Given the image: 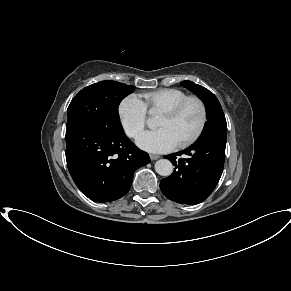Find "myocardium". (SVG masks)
<instances>
[{"label":"myocardium","instance_id":"myocardium-1","mask_svg":"<svg viewBox=\"0 0 291 291\" xmlns=\"http://www.w3.org/2000/svg\"><path fill=\"white\" fill-rule=\"evenodd\" d=\"M192 101H195L199 104L201 108V121L199 124V127L197 131L187 140L177 144L178 148H186L192 144H194L203 134L207 120H208V111L205 102L199 98L198 96H188L173 107L165 110L161 113V116L168 117V118H175L177 117L183 109L186 107V105Z\"/></svg>","mask_w":291,"mask_h":291}]
</instances>
